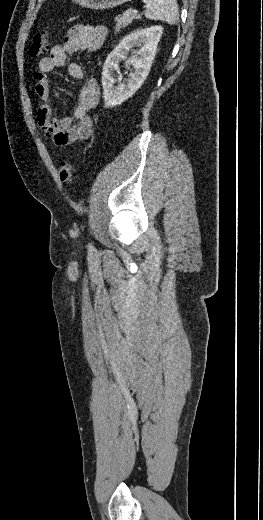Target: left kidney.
Here are the masks:
<instances>
[{
  "label": "left kidney",
  "mask_w": 263,
  "mask_h": 520,
  "mask_svg": "<svg viewBox=\"0 0 263 520\" xmlns=\"http://www.w3.org/2000/svg\"><path fill=\"white\" fill-rule=\"evenodd\" d=\"M162 30L161 26H153L134 31L125 36L108 55L102 72L104 102L107 108L121 104L142 86L150 72ZM135 46L139 47V50L133 51V56L127 58L128 52ZM121 60L125 61L126 68L132 65L134 71L130 72L125 84L114 86L115 72L118 71Z\"/></svg>",
  "instance_id": "5707ae66"
}]
</instances>
